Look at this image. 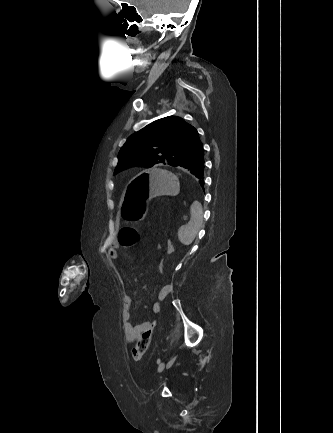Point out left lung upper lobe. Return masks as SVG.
Returning a JSON list of instances; mask_svg holds the SVG:
<instances>
[{"mask_svg": "<svg viewBox=\"0 0 333 433\" xmlns=\"http://www.w3.org/2000/svg\"><path fill=\"white\" fill-rule=\"evenodd\" d=\"M197 130L180 117L156 120L131 135L121 148L115 174L132 166L179 165L200 147Z\"/></svg>", "mask_w": 333, "mask_h": 433, "instance_id": "1", "label": "left lung upper lobe"}]
</instances>
